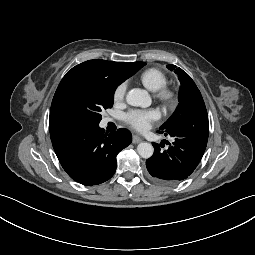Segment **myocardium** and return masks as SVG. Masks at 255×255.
<instances>
[{"mask_svg":"<svg viewBox=\"0 0 255 255\" xmlns=\"http://www.w3.org/2000/svg\"><path fill=\"white\" fill-rule=\"evenodd\" d=\"M156 99L165 107H171L176 102V91L168 86H164L154 92Z\"/></svg>","mask_w":255,"mask_h":255,"instance_id":"f54148a6","label":"myocardium"}]
</instances>
